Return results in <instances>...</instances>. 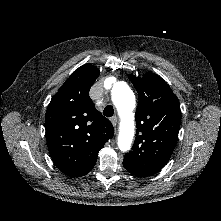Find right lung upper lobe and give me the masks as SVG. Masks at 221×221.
I'll return each instance as SVG.
<instances>
[{"label":"right lung upper lobe","mask_w":221,"mask_h":221,"mask_svg":"<svg viewBox=\"0 0 221 221\" xmlns=\"http://www.w3.org/2000/svg\"><path fill=\"white\" fill-rule=\"evenodd\" d=\"M98 68L85 64L74 71L52 98L45 115L48 150L57 168L70 177L92 170L98 152L113 137L112 123L94 107L89 90Z\"/></svg>","instance_id":"right-lung-upper-lobe-1"}]
</instances>
